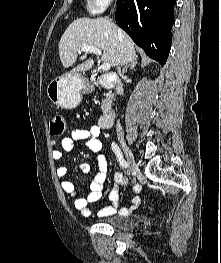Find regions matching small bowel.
<instances>
[{
    "label": "small bowel",
    "instance_id": "obj_1",
    "mask_svg": "<svg viewBox=\"0 0 221 263\" xmlns=\"http://www.w3.org/2000/svg\"><path fill=\"white\" fill-rule=\"evenodd\" d=\"M100 134L101 127L99 125H93L89 129L76 128L71 131L69 136L63 138L60 143H52V157L54 160H60L63 157L64 151H71L76 145L86 147L97 157L99 172L92 179L89 187L90 191L86 197H78V191L74 183L67 178L68 169L65 166H60L56 170L62 191L75 198V207L86 217L93 214L90 205L101 199L107 178L108 161L103 153L102 143L99 140ZM80 170L83 174H89L91 167L88 164H82L80 165ZM127 181L126 176L122 173L117 172L114 174V186L109 194L112 204L98 211V216H108L115 213L127 215L140 206L141 199L138 194L141 191V186L135 184L134 192L136 195L132 199L131 205L129 207H119L118 185L126 184Z\"/></svg>",
    "mask_w": 221,
    "mask_h": 263
}]
</instances>
